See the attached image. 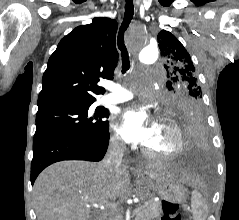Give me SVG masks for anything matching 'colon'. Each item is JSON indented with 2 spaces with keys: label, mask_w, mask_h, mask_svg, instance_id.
<instances>
[{
  "label": "colon",
  "mask_w": 239,
  "mask_h": 220,
  "mask_svg": "<svg viewBox=\"0 0 239 220\" xmlns=\"http://www.w3.org/2000/svg\"><path fill=\"white\" fill-rule=\"evenodd\" d=\"M163 217L161 220H180L178 205L170 201H162Z\"/></svg>",
  "instance_id": "obj_1"
}]
</instances>
